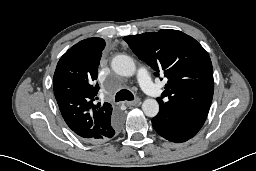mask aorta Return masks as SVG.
<instances>
[{
    "label": "aorta",
    "instance_id": "obj_1",
    "mask_svg": "<svg viewBox=\"0 0 256 171\" xmlns=\"http://www.w3.org/2000/svg\"><path fill=\"white\" fill-rule=\"evenodd\" d=\"M115 73L121 76L130 77L136 71V65L133 59L127 55H117L111 63ZM142 110L148 117H155L159 112V104L155 99H146L142 103Z\"/></svg>",
    "mask_w": 256,
    "mask_h": 171
}]
</instances>
